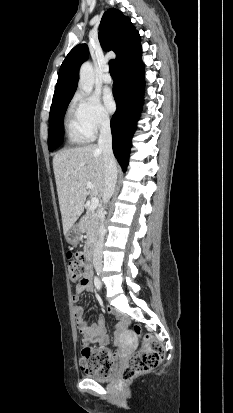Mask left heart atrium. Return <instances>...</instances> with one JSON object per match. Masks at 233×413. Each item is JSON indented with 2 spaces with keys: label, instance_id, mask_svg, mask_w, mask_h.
Returning <instances> with one entry per match:
<instances>
[{
  "label": "left heart atrium",
  "instance_id": "obj_1",
  "mask_svg": "<svg viewBox=\"0 0 233 413\" xmlns=\"http://www.w3.org/2000/svg\"><path fill=\"white\" fill-rule=\"evenodd\" d=\"M103 100H104V103H105L106 108H107L110 112H113V111L115 110V108H116V102H115L114 96H113V94L111 93V91L106 90V91L104 92Z\"/></svg>",
  "mask_w": 233,
  "mask_h": 413
}]
</instances>
